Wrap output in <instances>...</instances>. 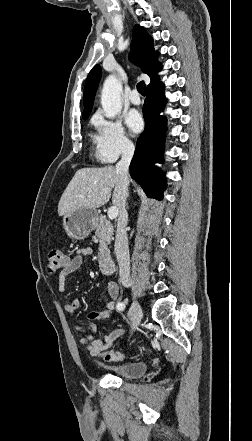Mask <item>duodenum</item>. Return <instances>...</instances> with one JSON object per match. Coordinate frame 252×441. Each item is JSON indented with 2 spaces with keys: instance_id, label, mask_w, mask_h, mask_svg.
Masks as SVG:
<instances>
[{
  "instance_id": "duodenum-1",
  "label": "duodenum",
  "mask_w": 252,
  "mask_h": 441,
  "mask_svg": "<svg viewBox=\"0 0 252 441\" xmlns=\"http://www.w3.org/2000/svg\"><path fill=\"white\" fill-rule=\"evenodd\" d=\"M99 265L103 274L111 275L114 273V263L107 255H101Z\"/></svg>"
}]
</instances>
